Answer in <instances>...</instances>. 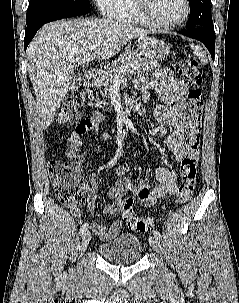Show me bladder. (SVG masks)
Wrapping results in <instances>:
<instances>
[{
  "label": "bladder",
  "instance_id": "bladder-1",
  "mask_svg": "<svg viewBox=\"0 0 239 303\" xmlns=\"http://www.w3.org/2000/svg\"><path fill=\"white\" fill-rule=\"evenodd\" d=\"M100 255L117 264L137 262L142 253L141 240L129 233H119L108 242H102L98 247Z\"/></svg>",
  "mask_w": 239,
  "mask_h": 303
}]
</instances>
